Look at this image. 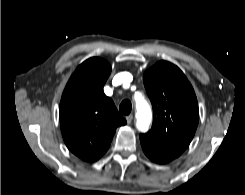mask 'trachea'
I'll return each mask as SVG.
<instances>
[{"instance_id": "obj_1", "label": "trachea", "mask_w": 245, "mask_h": 195, "mask_svg": "<svg viewBox=\"0 0 245 195\" xmlns=\"http://www.w3.org/2000/svg\"><path fill=\"white\" fill-rule=\"evenodd\" d=\"M132 109V104L129 100H124L119 106V110L123 115H129Z\"/></svg>"}]
</instances>
